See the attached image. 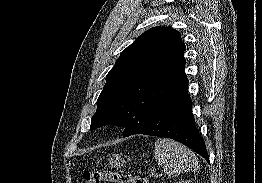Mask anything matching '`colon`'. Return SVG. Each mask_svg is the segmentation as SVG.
Listing matches in <instances>:
<instances>
[{"label":"colon","instance_id":"obj_1","mask_svg":"<svg viewBox=\"0 0 262 183\" xmlns=\"http://www.w3.org/2000/svg\"><path fill=\"white\" fill-rule=\"evenodd\" d=\"M148 183L146 178L134 176L127 172H118L112 170H87L82 173L78 183Z\"/></svg>","mask_w":262,"mask_h":183}]
</instances>
